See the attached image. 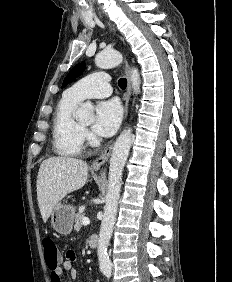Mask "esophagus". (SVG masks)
<instances>
[{"label":"esophagus","instance_id":"obj_1","mask_svg":"<svg viewBox=\"0 0 232 282\" xmlns=\"http://www.w3.org/2000/svg\"><path fill=\"white\" fill-rule=\"evenodd\" d=\"M108 26L114 32V34H116L115 27L113 25H111L109 22H108ZM125 73H126L127 78H128L127 91H126V94H125V106H124V113H125V118H126L127 113H128V105H129L130 95H131L130 70H129L128 62L126 60H125ZM112 147H113V144H110L104 150V152L92 162V168H100L102 165H104V163L109 159V156H110L111 151H112Z\"/></svg>","mask_w":232,"mask_h":282}]
</instances>
